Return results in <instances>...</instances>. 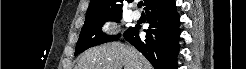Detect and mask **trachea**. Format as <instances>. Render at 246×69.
Returning <instances> with one entry per match:
<instances>
[{
	"label": "trachea",
	"instance_id": "3493384b",
	"mask_svg": "<svg viewBox=\"0 0 246 69\" xmlns=\"http://www.w3.org/2000/svg\"><path fill=\"white\" fill-rule=\"evenodd\" d=\"M142 6H143V2H139V3H138V7L141 8Z\"/></svg>",
	"mask_w": 246,
	"mask_h": 69
}]
</instances>
